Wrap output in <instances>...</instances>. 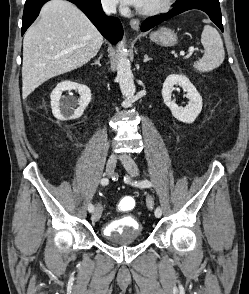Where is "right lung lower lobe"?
Returning a JSON list of instances; mask_svg holds the SVG:
<instances>
[{
	"mask_svg": "<svg viewBox=\"0 0 249 294\" xmlns=\"http://www.w3.org/2000/svg\"><path fill=\"white\" fill-rule=\"evenodd\" d=\"M49 0H26L23 19L22 35L39 15L41 7ZM81 9L99 32L112 44H116L122 37L123 27L118 18L107 17L100 0H68Z\"/></svg>",
	"mask_w": 249,
	"mask_h": 294,
	"instance_id": "1",
	"label": "right lung lower lobe"
}]
</instances>
